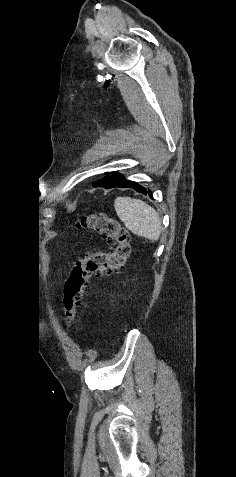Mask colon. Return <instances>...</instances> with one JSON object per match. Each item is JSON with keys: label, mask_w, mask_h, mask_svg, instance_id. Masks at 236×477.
<instances>
[{"label": "colon", "mask_w": 236, "mask_h": 477, "mask_svg": "<svg viewBox=\"0 0 236 477\" xmlns=\"http://www.w3.org/2000/svg\"><path fill=\"white\" fill-rule=\"evenodd\" d=\"M76 227L102 235L113 244V249L111 252L88 254L72 268L64 285V315L69 326L78 315L90 278L109 275L119 270L131 256L129 232L118 220L106 213L97 212L82 216Z\"/></svg>", "instance_id": "1"}]
</instances>
